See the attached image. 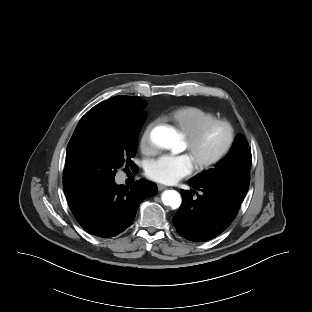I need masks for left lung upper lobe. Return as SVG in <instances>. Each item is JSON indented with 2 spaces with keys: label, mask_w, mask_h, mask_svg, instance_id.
<instances>
[{
  "label": "left lung upper lobe",
  "mask_w": 312,
  "mask_h": 312,
  "mask_svg": "<svg viewBox=\"0 0 312 312\" xmlns=\"http://www.w3.org/2000/svg\"><path fill=\"white\" fill-rule=\"evenodd\" d=\"M251 161V149L245 137L238 134L229 154L215 167L203 171L191 181L221 185L243 201L249 187Z\"/></svg>",
  "instance_id": "1"
}]
</instances>
